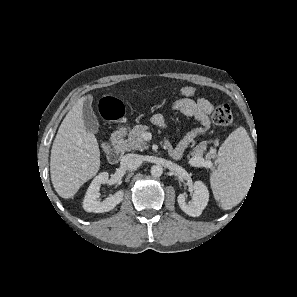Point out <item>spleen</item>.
<instances>
[{
    "label": "spleen",
    "mask_w": 297,
    "mask_h": 297,
    "mask_svg": "<svg viewBox=\"0 0 297 297\" xmlns=\"http://www.w3.org/2000/svg\"><path fill=\"white\" fill-rule=\"evenodd\" d=\"M255 165L251 139L243 127L237 128L221 145L218 168L210 182L216 198L223 204L238 202L243 197Z\"/></svg>",
    "instance_id": "spleen-1"
}]
</instances>
